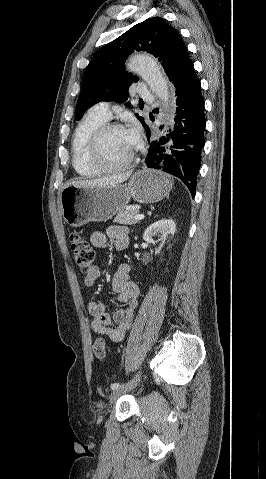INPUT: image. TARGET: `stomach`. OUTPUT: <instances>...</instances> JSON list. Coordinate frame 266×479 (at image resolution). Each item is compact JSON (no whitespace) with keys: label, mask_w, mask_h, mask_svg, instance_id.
Segmentation results:
<instances>
[{"label":"stomach","mask_w":266,"mask_h":479,"mask_svg":"<svg viewBox=\"0 0 266 479\" xmlns=\"http://www.w3.org/2000/svg\"><path fill=\"white\" fill-rule=\"evenodd\" d=\"M171 177L160 171L143 169L134 173L128 184L106 187L68 185L61 192L63 219L72 227L88 222L111 219L133 198L139 203H154L165 198L172 189Z\"/></svg>","instance_id":"obj_1"}]
</instances>
